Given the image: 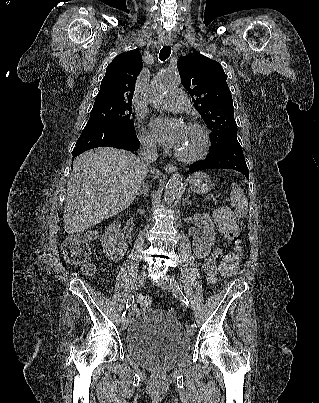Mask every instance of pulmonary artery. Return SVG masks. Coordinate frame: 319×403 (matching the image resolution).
Returning a JSON list of instances; mask_svg holds the SVG:
<instances>
[{"label": "pulmonary artery", "mask_w": 319, "mask_h": 403, "mask_svg": "<svg viewBox=\"0 0 319 403\" xmlns=\"http://www.w3.org/2000/svg\"><path fill=\"white\" fill-rule=\"evenodd\" d=\"M160 102L165 107L177 110H182L189 106L188 97L180 88L173 89L167 93L164 97H162Z\"/></svg>", "instance_id": "pulmonary-artery-1"}]
</instances>
